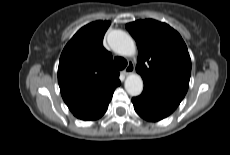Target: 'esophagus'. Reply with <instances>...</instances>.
I'll use <instances>...</instances> for the list:
<instances>
[{
  "instance_id": "34e87169",
  "label": "esophagus",
  "mask_w": 230,
  "mask_h": 155,
  "mask_svg": "<svg viewBox=\"0 0 230 155\" xmlns=\"http://www.w3.org/2000/svg\"><path fill=\"white\" fill-rule=\"evenodd\" d=\"M134 71V64L133 62H129L127 67L124 69L123 73L125 75H129Z\"/></svg>"
}]
</instances>
